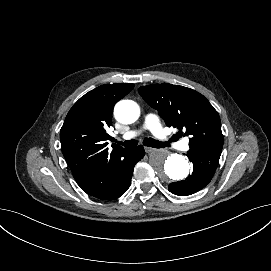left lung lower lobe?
<instances>
[{
    "label": "left lung lower lobe",
    "instance_id": "obj_1",
    "mask_svg": "<svg viewBox=\"0 0 271 271\" xmlns=\"http://www.w3.org/2000/svg\"><path fill=\"white\" fill-rule=\"evenodd\" d=\"M193 163V172L185 180L170 183L168 190L178 196H187L203 189L212 179L220 155H214L207 148L190 149L187 153Z\"/></svg>",
    "mask_w": 271,
    "mask_h": 271
}]
</instances>
